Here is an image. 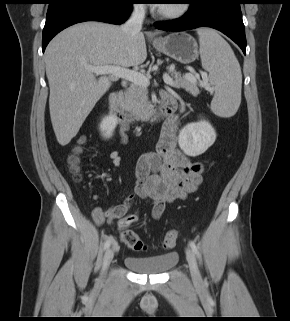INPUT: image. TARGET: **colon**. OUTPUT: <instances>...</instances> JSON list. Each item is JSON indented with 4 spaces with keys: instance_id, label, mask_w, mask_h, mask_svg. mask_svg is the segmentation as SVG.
<instances>
[{
    "instance_id": "1",
    "label": "colon",
    "mask_w": 290,
    "mask_h": 321,
    "mask_svg": "<svg viewBox=\"0 0 290 321\" xmlns=\"http://www.w3.org/2000/svg\"><path fill=\"white\" fill-rule=\"evenodd\" d=\"M81 142L82 140H80V143L73 148L70 156L68 157V164L70 166L71 171L74 173V178L76 180L81 179L80 164L81 156L83 153V147ZM136 220V214H129L124 218L122 224L124 226H128L134 223ZM120 238L122 242H124L130 249L134 251H144L146 249L145 242L138 236V234L134 230L130 228H124L120 234ZM176 241L177 232L175 230H169L163 238L162 246L165 249H171L175 246Z\"/></svg>"
}]
</instances>
